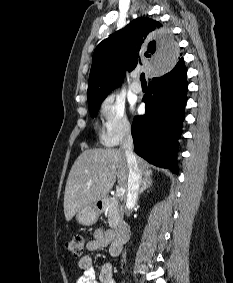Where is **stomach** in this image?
Here are the masks:
<instances>
[{"instance_id": "stomach-1", "label": "stomach", "mask_w": 233, "mask_h": 283, "mask_svg": "<svg viewBox=\"0 0 233 283\" xmlns=\"http://www.w3.org/2000/svg\"><path fill=\"white\" fill-rule=\"evenodd\" d=\"M99 215L100 210L94 204H91L79 210L75 218L82 225H92L97 221Z\"/></svg>"}]
</instances>
